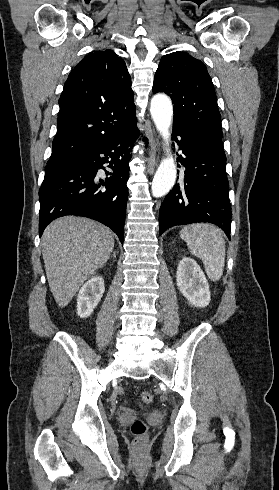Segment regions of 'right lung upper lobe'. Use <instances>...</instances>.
<instances>
[{
  "instance_id": "1",
  "label": "right lung upper lobe",
  "mask_w": 279,
  "mask_h": 490,
  "mask_svg": "<svg viewBox=\"0 0 279 490\" xmlns=\"http://www.w3.org/2000/svg\"><path fill=\"white\" fill-rule=\"evenodd\" d=\"M133 99L125 62L112 50L88 54L64 85L47 164L65 163L134 128Z\"/></svg>"
}]
</instances>
